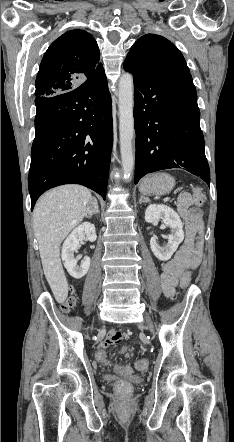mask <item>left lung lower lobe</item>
Instances as JSON below:
<instances>
[{"label":"left lung lower lobe","instance_id":"left-lung-lower-lobe-1","mask_svg":"<svg viewBox=\"0 0 234 442\" xmlns=\"http://www.w3.org/2000/svg\"><path fill=\"white\" fill-rule=\"evenodd\" d=\"M134 76L135 184L146 174L183 168L210 185L197 93L190 72L147 71Z\"/></svg>","mask_w":234,"mask_h":442}]
</instances>
